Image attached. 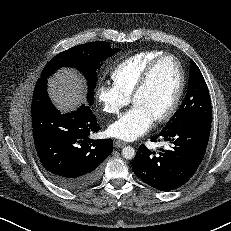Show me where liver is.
<instances>
[{
	"instance_id": "6515ba94",
	"label": "liver",
	"mask_w": 231,
	"mask_h": 231,
	"mask_svg": "<svg viewBox=\"0 0 231 231\" xmlns=\"http://www.w3.org/2000/svg\"><path fill=\"white\" fill-rule=\"evenodd\" d=\"M49 94L61 112L76 109L85 102V83L75 71L62 69L49 81Z\"/></svg>"
}]
</instances>
